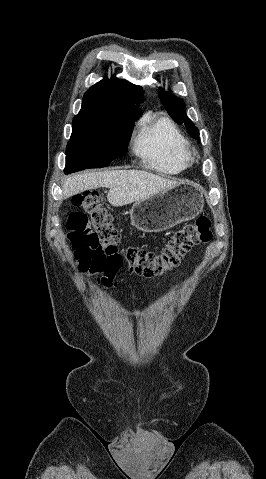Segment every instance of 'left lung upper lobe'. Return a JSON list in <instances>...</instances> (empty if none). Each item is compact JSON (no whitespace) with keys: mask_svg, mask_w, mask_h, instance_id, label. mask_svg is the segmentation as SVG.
<instances>
[{"mask_svg":"<svg viewBox=\"0 0 266 479\" xmlns=\"http://www.w3.org/2000/svg\"><path fill=\"white\" fill-rule=\"evenodd\" d=\"M160 99L174 121L178 124L184 123L188 129L189 134L197 139L199 138V131L193 124V122L186 116L185 105L183 101L172 94L165 92L163 89H159Z\"/></svg>","mask_w":266,"mask_h":479,"instance_id":"5c2ea615","label":"left lung upper lobe"}]
</instances>
